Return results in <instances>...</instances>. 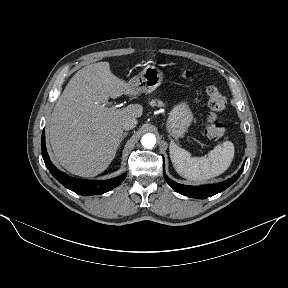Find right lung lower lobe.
Returning a JSON list of instances; mask_svg holds the SVG:
<instances>
[{
  "label": "right lung lower lobe",
  "instance_id": "1",
  "mask_svg": "<svg viewBox=\"0 0 288 288\" xmlns=\"http://www.w3.org/2000/svg\"><path fill=\"white\" fill-rule=\"evenodd\" d=\"M41 150L44 162L51 172L53 177H55L60 183H62L66 188L72 190L73 192L88 196V195H99L112 190L117 187L125 179L126 174L109 179V180H85L77 179L68 176L67 174L58 170L51 162L45 145V131L42 133L41 138Z\"/></svg>",
  "mask_w": 288,
  "mask_h": 288
}]
</instances>
